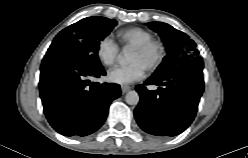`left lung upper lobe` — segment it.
<instances>
[{"label":"left lung upper lobe","instance_id":"obj_1","mask_svg":"<svg viewBox=\"0 0 248 158\" xmlns=\"http://www.w3.org/2000/svg\"><path fill=\"white\" fill-rule=\"evenodd\" d=\"M147 25L160 35L167 51V56L154 72L153 77H162L179 64L198 58L199 52L195 42L185 33L163 22H149Z\"/></svg>","mask_w":248,"mask_h":158}]
</instances>
